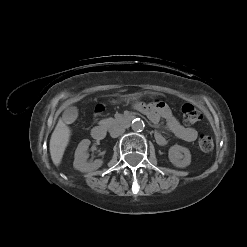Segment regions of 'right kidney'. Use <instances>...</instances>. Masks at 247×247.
<instances>
[{
  "label": "right kidney",
  "mask_w": 247,
  "mask_h": 247,
  "mask_svg": "<svg viewBox=\"0 0 247 247\" xmlns=\"http://www.w3.org/2000/svg\"><path fill=\"white\" fill-rule=\"evenodd\" d=\"M90 143L91 142L88 139L82 140L75 151L73 167L80 172H92L100 168L103 164V160L101 159H97L92 163L87 162V150L89 148Z\"/></svg>",
  "instance_id": "obj_1"
}]
</instances>
